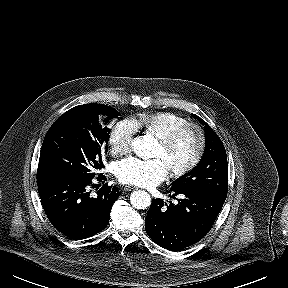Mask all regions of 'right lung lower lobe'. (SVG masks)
<instances>
[{"instance_id": "98d812e1", "label": "right lung lower lobe", "mask_w": 288, "mask_h": 288, "mask_svg": "<svg viewBox=\"0 0 288 288\" xmlns=\"http://www.w3.org/2000/svg\"><path fill=\"white\" fill-rule=\"evenodd\" d=\"M90 181L66 177L37 181L49 221L69 238L85 239L106 228L112 205L120 196L115 186L105 184L92 197L87 190Z\"/></svg>"}]
</instances>
